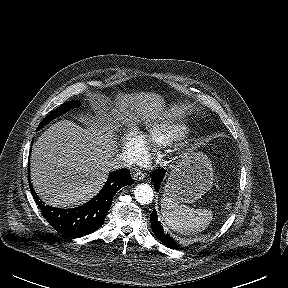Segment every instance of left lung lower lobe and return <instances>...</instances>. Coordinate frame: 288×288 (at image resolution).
Instances as JSON below:
<instances>
[{
  "instance_id": "1",
  "label": "left lung lower lobe",
  "mask_w": 288,
  "mask_h": 288,
  "mask_svg": "<svg viewBox=\"0 0 288 288\" xmlns=\"http://www.w3.org/2000/svg\"><path fill=\"white\" fill-rule=\"evenodd\" d=\"M165 175L164 169H157L151 174V180L154 183V188L156 191L160 188V183L162 182ZM150 221H151V227L155 234V236L163 242L165 245L171 247V248H177L179 247V244L174 241L173 238H171L168 234L164 232L163 227L161 226V223L157 219L156 211L154 210L150 215Z\"/></svg>"
}]
</instances>
